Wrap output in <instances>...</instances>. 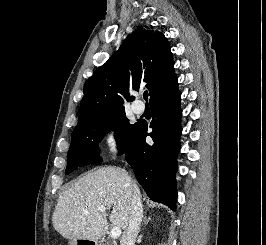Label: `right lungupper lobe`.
Listing matches in <instances>:
<instances>
[{"instance_id": "right-lung-upper-lobe-1", "label": "right lung upper lobe", "mask_w": 266, "mask_h": 245, "mask_svg": "<svg viewBox=\"0 0 266 245\" xmlns=\"http://www.w3.org/2000/svg\"><path fill=\"white\" fill-rule=\"evenodd\" d=\"M170 45L165 36L140 26L127 36L110 59L84 85L79 121L124 110L134 100L129 89L145 85L150 99L177 81Z\"/></svg>"}]
</instances>
